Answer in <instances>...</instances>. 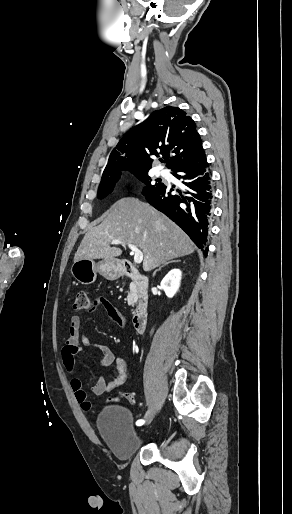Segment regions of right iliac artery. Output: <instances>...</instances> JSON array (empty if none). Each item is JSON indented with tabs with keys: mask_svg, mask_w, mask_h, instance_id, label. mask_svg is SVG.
<instances>
[{
	"mask_svg": "<svg viewBox=\"0 0 292 514\" xmlns=\"http://www.w3.org/2000/svg\"><path fill=\"white\" fill-rule=\"evenodd\" d=\"M144 423H145V421H144L143 419H140V420H138V421L136 422V425L141 426V425H143Z\"/></svg>",
	"mask_w": 292,
	"mask_h": 514,
	"instance_id": "1",
	"label": "right iliac artery"
}]
</instances>
